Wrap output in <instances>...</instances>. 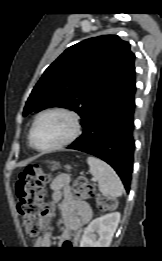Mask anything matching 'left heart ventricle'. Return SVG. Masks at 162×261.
Returning <instances> with one entry per match:
<instances>
[{
	"label": "left heart ventricle",
	"instance_id": "left-heart-ventricle-1",
	"mask_svg": "<svg viewBox=\"0 0 162 261\" xmlns=\"http://www.w3.org/2000/svg\"><path fill=\"white\" fill-rule=\"evenodd\" d=\"M72 130L71 120L62 114H49L42 117L34 131V142L45 148L63 140Z\"/></svg>",
	"mask_w": 162,
	"mask_h": 261
}]
</instances>
